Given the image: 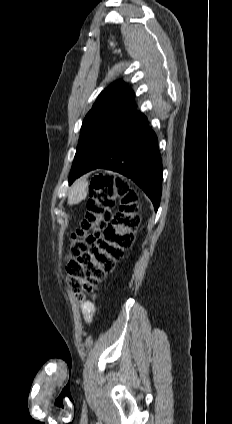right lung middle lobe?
Instances as JSON below:
<instances>
[{"label": "right lung middle lobe", "mask_w": 232, "mask_h": 424, "mask_svg": "<svg viewBox=\"0 0 232 424\" xmlns=\"http://www.w3.org/2000/svg\"><path fill=\"white\" fill-rule=\"evenodd\" d=\"M133 111L132 108L107 107L88 112L81 127L70 177L80 173L85 163L113 131L133 119Z\"/></svg>", "instance_id": "1"}]
</instances>
